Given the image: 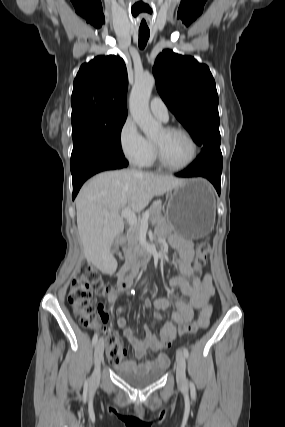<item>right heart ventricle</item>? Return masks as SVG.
I'll use <instances>...</instances> for the list:
<instances>
[{"label":"right heart ventricle","instance_id":"e07e8e85","mask_svg":"<svg viewBox=\"0 0 285 427\" xmlns=\"http://www.w3.org/2000/svg\"><path fill=\"white\" fill-rule=\"evenodd\" d=\"M155 153H154V148H153V145H152V149H151V152H150V155L147 157V159L141 164V166H151V165H153L154 164V162H155Z\"/></svg>","mask_w":285,"mask_h":427}]
</instances>
